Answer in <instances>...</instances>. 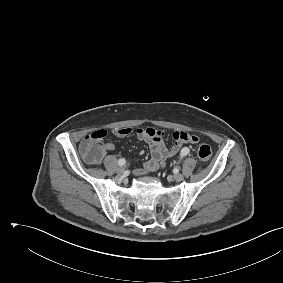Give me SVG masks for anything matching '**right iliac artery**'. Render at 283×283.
Segmentation results:
<instances>
[{
    "mask_svg": "<svg viewBox=\"0 0 283 283\" xmlns=\"http://www.w3.org/2000/svg\"><path fill=\"white\" fill-rule=\"evenodd\" d=\"M126 164V160L124 158H121L118 160V165L119 166H124Z\"/></svg>",
    "mask_w": 283,
    "mask_h": 283,
    "instance_id": "obj_1",
    "label": "right iliac artery"
}]
</instances>
